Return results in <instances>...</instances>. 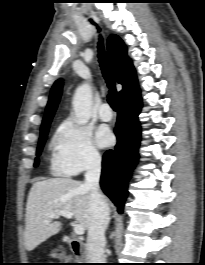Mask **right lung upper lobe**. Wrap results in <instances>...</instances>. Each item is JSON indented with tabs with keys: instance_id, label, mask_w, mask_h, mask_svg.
<instances>
[{
	"instance_id": "1",
	"label": "right lung upper lobe",
	"mask_w": 205,
	"mask_h": 265,
	"mask_svg": "<svg viewBox=\"0 0 205 265\" xmlns=\"http://www.w3.org/2000/svg\"><path fill=\"white\" fill-rule=\"evenodd\" d=\"M108 54L114 69L115 78L123 85L119 93V105H126L140 97V89L132 61L127 56V48L117 35H111L107 42ZM62 80H57L52 86L46 107L41 130L50 126L55 110L60 100Z\"/></svg>"
}]
</instances>
